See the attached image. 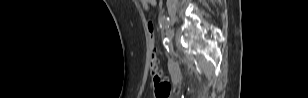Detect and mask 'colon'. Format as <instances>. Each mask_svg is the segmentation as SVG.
I'll return each instance as SVG.
<instances>
[{"instance_id": "1", "label": "colon", "mask_w": 308, "mask_h": 98, "mask_svg": "<svg viewBox=\"0 0 308 98\" xmlns=\"http://www.w3.org/2000/svg\"><path fill=\"white\" fill-rule=\"evenodd\" d=\"M148 31H149V37L152 43L150 69H151V73L153 76L155 94L157 97H165L170 92L171 84L165 77L161 75V73L158 70L159 60L157 58L156 50L154 47V26L152 22H148Z\"/></svg>"}]
</instances>
